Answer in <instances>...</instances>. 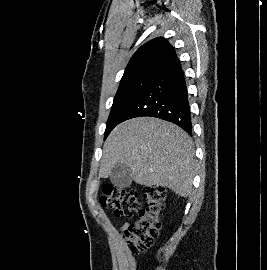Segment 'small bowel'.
I'll return each instance as SVG.
<instances>
[{
  "instance_id": "small-bowel-1",
  "label": "small bowel",
  "mask_w": 267,
  "mask_h": 270,
  "mask_svg": "<svg viewBox=\"0 0 267 270\" xmlns=\"http://www.w3.org/2000/svg\"><path fill=\"white\" fill-rule=\"evenodd\" d=\"M126 225H127V223L123 225V229L125 228Z\"/></svg>"
}]
</instances>
